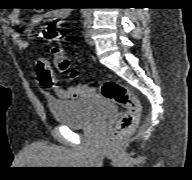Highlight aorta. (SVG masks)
<instances>
[{"mask_svg": "<svg viewBox=\"0 0 192 180\" xmlns=\"http://www.w3.org/2000/svg\"><path fill=\"white\" fill-rule=\"evenodd\" d=\"M84 10H85V12L88 13V14L91 13V11H90L91 9H89V8H86V9H84Z\"/></svg>", "mask_w": 192, "mask_h": 180, "instance_id": "762f6f07", "label": "aorta"}]
</instances>
